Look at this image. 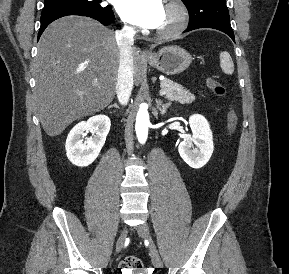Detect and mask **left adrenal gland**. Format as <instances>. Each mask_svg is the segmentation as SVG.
Masks as SVG:
<instances>
[{"label": "left adrenal gland", "mask_w": 289, "mask_h": 274, "mask_svg": "<svg viewBox=\"0 0 289 274\" xmlns=\"http://www.w3.org/2000/svg\"><path fill=\"white\" fill-rule=\"evenodd\" d=\"M157 109L159 110V112L163 115L166 113L167 109L170 107L171 103H162L161 100H157Z\"/></svg>", "instance_id": "obj_1"}]
</instances>
